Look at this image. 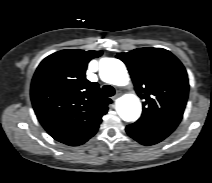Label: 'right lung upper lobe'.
I'll list each match as a JSON object with an SVG mask.
<instances>
[{
    "label": "right lung upper lobe",
    "instance_id": "1",
    "mask_svg": "<svg viewBox=\"0 0 212 183\" xmlns=\"http://www.w3.org/2000/svg\"><path fill=\"white\" fill-rule=\"evenodd\" d=\"M102 51L62 50L46 57L31 84L38 120L57 141L81 145L99 128L111 99L85 78L88 62Z\"/></svg>",
    "mask_w": 212,
    "mask_h": 183
}]
</instances>
